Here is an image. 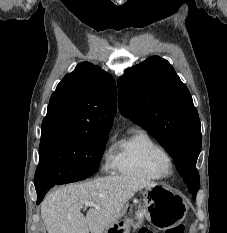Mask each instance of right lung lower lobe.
<instances>
[{
  "label": "right lung lower lobe",
  "mask_w": 227,
  "mask_h": 233,
  "mask_svg": "<svg viewBox=\"0 0 227 233\" xmlns=\"http://www.w3.org/2000/svg\"><path fill=\"white\" fill-rule=\"evenodd\" d=\"M54 185H51V186H48V187H45V188H42V189H39V190H36L37 191V196H38V200H37V204H40V202L43 200L46 192L52 188Z\"/></svg>",
  "instance_id": "98d812e1"
}]
</instances>
